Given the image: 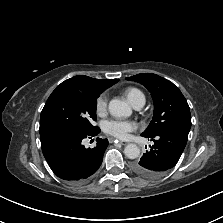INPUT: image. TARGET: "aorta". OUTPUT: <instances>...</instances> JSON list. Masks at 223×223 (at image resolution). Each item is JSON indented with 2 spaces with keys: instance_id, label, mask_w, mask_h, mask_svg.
<instances>
[{
  "instance_id": "762f6f07",
  "label": "aorta",
  "mask_w": 223,
  "mask_h": 223,
  "mask_svg": "<svg viewBox=\"0 0 223 223\" xmlns=\"http://www.w3.org/2000/svg\"><path fill=\"white\" fill-rule=\"evenodd\" d=\"M109 112L115 117H129L132 114L131 107L120 99H112L108 106ZM124 154L129 159H136L140 155V149L136 144H128Z\"/></svg>"
}]
</instances>
